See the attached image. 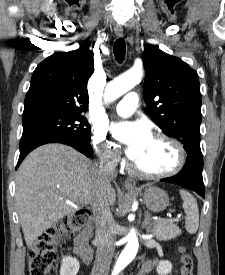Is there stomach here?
Instances as JSON below:
<instances>
[{"label": "stomach", "instance_id": "1", "mask_svg": "<svg viewBox=\"0 0 225 275\" xmlns=\"http://www.w3.org/2000/svg\"><path fill=\"white\" fill-rule=\"evenodd\" d=\"M143 201L152 212H162L169 205V197L160 188L148 187L144 190Z\"/></svg>", "mask_w": 225, "mask_h": 275}]
</instances>
